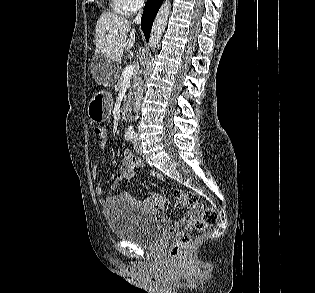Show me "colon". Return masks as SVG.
I'll return each mask as SVG.
<instances>
[{
	"label": "colon",
	"mask_w": 315,
	"mask_h": 293,
	"mask_svg": "<svg viewBox=\"0 0 315 293\" xmlns=\"http://www.w3.org/2000/svg\"><path fill=\"white\" fill-rule=\"evenodd\" d=\"M98 137H105L107 134V129L104 126H97L94 130ZM174 197L183 206H197L199 207L197 197L194 193L183 190H175ZM217 221V213L215 209L211 207H206L202 209L201 214L198 218H194L187 222L188 228L186 230H174V237L171 241L169 247V256L172 260H178L184 254L185 249L190 243L191 230H202L208 226L215 224Z\"/></svg>",
	"instance_id": "1"
}]
</instances>
